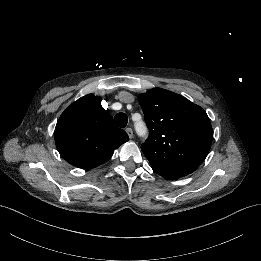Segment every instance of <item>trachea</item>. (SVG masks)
<instances>
[{
    "instance_id": "1",
    "label": "trachea",
    "mask_w": 261,
    "mask_h": 261,
    "mask_svg": "<svg viewBox=\"0 0 261 261\" xmlns=\"http://www.w3.org/2000/svg\"><path fill=\"white\" fill-rule=\"evenodd\" d=\"M114 123L120 128H125L128 123V117L125 113H117L114 117Z\"/></svg>"
}]
</instances>
